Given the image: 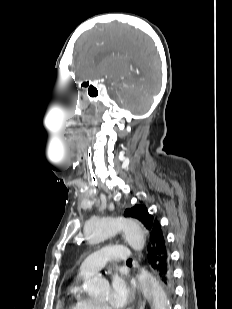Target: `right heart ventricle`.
<instances>
[{
  "label": "right heart ventricle",
  "instance_id": "1",
  "mask_svg": "<svg viewBox=\"0 0 232 309\" xmlns=\"http://www.w3.org/2000/svg\"><path fill=\"white\" fill-rule=\"evenodd\" d=\"M83 276L78 275L68 290V309H101L98 303L88 298L80 291L79 281Z\"/></svg>",
  "mask_w": 232,
  "mask_h": 309
}]
</instances>
